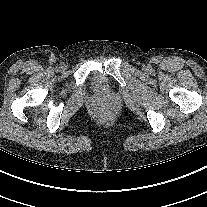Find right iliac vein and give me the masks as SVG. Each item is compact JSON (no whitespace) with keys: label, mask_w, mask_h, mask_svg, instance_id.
<instances>
[{"label":"right iliac vein","mask_w":207,"mask_h":207,"mask_svg":"<svg viewBox=\"0 0 207 207\" xmlns=\"http://www.w3.org/2000/svg\"><path fill=\"white\" fill-rule=\"evenodd\" d=\"M60 68H61L62 70H65V69H66V65H65V64H61Z\"/></svg>","instance_id":"obj_1"}]
</instances>
